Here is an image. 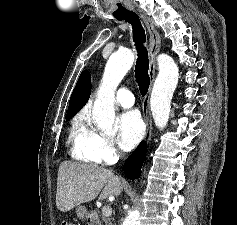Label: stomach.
I'll list each match as a JSON object with an SVG mask.
<instances>
[{
	"instance_id": "stomach-1",
	"label": "stomach",
	"mask_w": 237,
	"mask_h": 225,
	"mask_svg": "<svg viewBox=\"0 0 237 225\" xmlns=\"http://www.w3.org/2000/svg\"><path fill=\"white\" fill-rule=\"evenodd\" d=\"M76 213H77V216L82 220L85 218H88L90 215V213L87 211V209L84 206H78L76 209Z\"/></svg>"
}]
</instances>
